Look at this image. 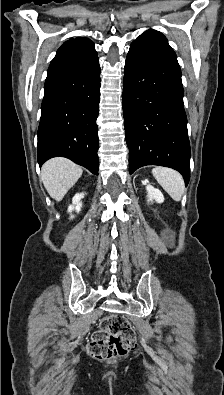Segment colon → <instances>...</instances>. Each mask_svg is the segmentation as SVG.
<instances>
[{
	"mask_svg": "<svg viewBox=\"0 0 224 395\" xmlns=\"http://www.w3.org/2000/svg\"><path fill=\"white\" fill-rule=\"evenodd\" d=\"M135 332L127 319L119 315L106 317L93 333L88 353L96 360H112L134 350Z\"/></svg>",
	"mask_w": 224,
	"mask_h": 395,
	"instance_id": "5ec220e1",
	"label": "colon"
}]
</instances>
